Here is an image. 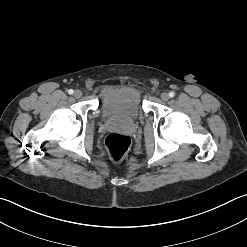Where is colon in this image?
I'll return each mask as SVG.
<instances>
[{"instance_id":"colon-1","label":"colon","mask_w":247,"mask_h":247,"mask_svg":"<svg viewBox=\"0 0 247 247\" xmlns=\"http://www.w3.org/2000/svg\"><path fill=\"white\" fill-rule=\"evenodd\" d=\"M105 146L110 158L113 161L120 162L127 156L131 140L125 134L111 133L105 139Z\"/></svg>"}]
</instances>
